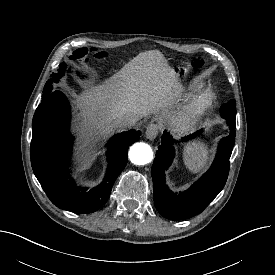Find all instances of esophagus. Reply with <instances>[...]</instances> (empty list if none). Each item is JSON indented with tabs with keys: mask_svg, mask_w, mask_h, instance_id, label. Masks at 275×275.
Returning <instances> with one entry per match:
<instances>
[{
	"mask_svg": "<svg viewBox=\"0 0 275 275\" xmlns=\"http://www.w3.org/2000/svg\"><path fill=\"white\" fill-rule=\"evenodd\" d=\"M145 133H146V137L149 140H154L158 135V126L156 124L148 125Z\"/></svg>",
	"mask_w": 275,
	"mask_h": 275,
	"instance_id": "obj_1",
	"label": "esophagus"
}]
</instances>
